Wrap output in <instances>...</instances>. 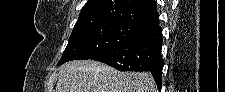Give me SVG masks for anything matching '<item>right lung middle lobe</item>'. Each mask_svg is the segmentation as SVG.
Returning <instances> with one entry per match:
<instances>
[{"label": "right lung middle lobe", "instance_id": "right-lung-middle-lobe-1", "mask_svg": "<svg viewBox=\"0 0 225 92\" xmlns=\"http://www.w3.org/2000/svg\"><path fill=\"white\" fill-rule=\"evenodd\" d=\"M143 33L133 26L119 22L75 26L58 65L75 59H91Z\"/></svg>", "mask_w": 225, "mask_h": 92}]
</instances>
